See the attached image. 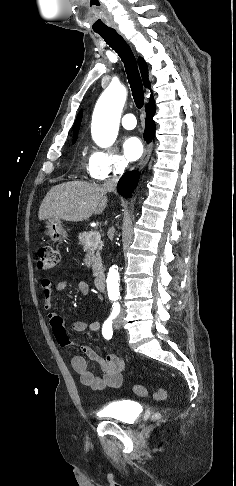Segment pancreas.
Instances as JSON below:
<instances>
[{
    "mask_svg": "<svg viewBox=\"0 0 236 486\" xmlns=\"http://www.w3.org/2000/svg\"><path fill=\"white\" fill-rule=\"evenodd\" d=\"M78 239L83 249L90 251L93 275L98 276L103 270L100 257V251L103 245L102 242L96 240L94 232L92 231L79 233Z\"/></svg>",
    "mask_w": 236,
    "mask_h": 486,
    "instance_id": "1",
    "label": "pancreas"
}]
</instances>
